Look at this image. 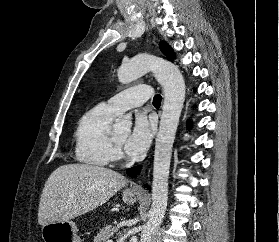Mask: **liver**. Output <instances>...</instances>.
I'll use <instances>...</instances> for the list:
<instances>
[{
  "instance_id": "1",
  "label": "liver",
  "mask_w": 279,
  "mask_h": 242,
  "mask_svg": "<svg viewBox=\"0 0 279 242\" xmlns=\"http://www.w3.org/2000/svg\"><path fill=\"white\" fill-rule=\"evenodd\" d=\"M129 180L111 169L88 165L68 164L58 167L43 188L38 223L74 219L108 201Z\"/></svg>"
}]
</instances>
